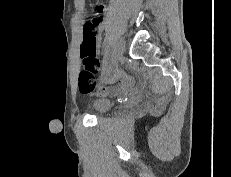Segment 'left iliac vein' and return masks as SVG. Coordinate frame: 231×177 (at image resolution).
I'll return each mask as SVG.
<instances>
[{
	"label": "left iliac vein",
	"mask_w": 231,
	"mask_h": 177,
	"mask_svg": "<svg viewBox=\"0 0 231 177\" xmlns=\"http://www.w3.org/2000/svg\"><path fill=\"white\" fill-rule=\"evenodd\" d=\"M126 42L123 38H119L114 46L113 59L117 62L125 51Z\"/></svg>",
	"instance_id": "left-iliac-vein-1"
}]
</instances>
